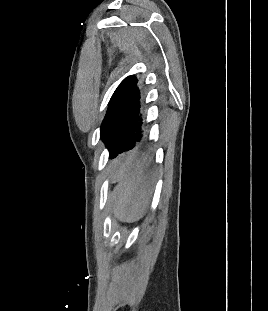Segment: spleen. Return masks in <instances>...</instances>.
Segmentation results:
<instances>
[{
  "label": "spleen",
  "mask_w": 268,
  "mask_h": 311,
  "mask_svg": "<svg viewBox=\"0 0 268 311\" xmlns=\"http://www.w3.org/2000/svg\"><path fill=\"white\" fill-rule=\"evenodd\" d=\"M135 153L132 149L129 156L123 157L124 163L115 173L118 184L108 199L114 216L127 223L143 217L152 194L147 175L152 178L154 169L149 168L146 160L133 161Z\"/></svg>",
  "instance_id": "1"
}]
</instances>
